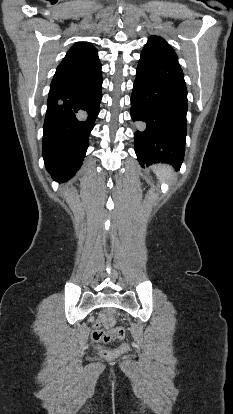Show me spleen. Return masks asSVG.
<instances>
[{"label": "spleen", "mask_w": 233, "mask_h": 414, "mask_svg": "<svg viewBox=\"0 0 233 414\" xmlns=\"http://www.w3.org/2000/svg\"><path fill=\"white\" fill-rule=\"evenodd\" d=\"M153 170L161 181H167L173 178V170L169 165H155Z\"/></svg>", "instance_id": "obj_1"}]
</instances>
